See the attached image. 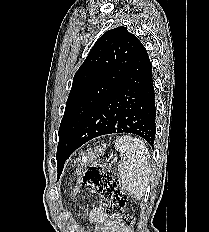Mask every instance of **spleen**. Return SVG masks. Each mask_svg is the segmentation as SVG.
<instances>
[{
	"mask_svg": "<svg viewBox=\"0 0 209 232\" xmlns=\"http://www.w3.org/2000/svg\"><path fill=\"white\" fill-rule=\"evenodd\" d=\"M116 150L122 155L119 177L122 186L135 199L144 195L150 174V153L145 143L127 135L117 137Z\"/></svg>",
	"mask_w": 209,
	"mask_h": 232,
	"instance_id": "spleen-1",
	"label": "spleen"
}]
</instances>
